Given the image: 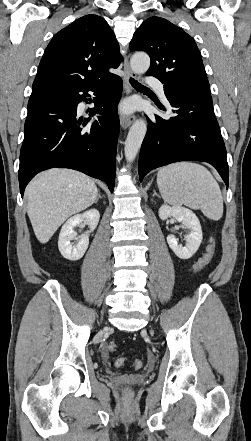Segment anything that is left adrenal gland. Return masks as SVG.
Masks as SVG:
<instances>
[{
	"mask_svg": "<svg viewBox=\"0 0 251 441\" xmlns=\"http://www.w3.org/2000/svg\"><path fill=\"white\" fill-rule=\"evenodd\" d=\"M153 192H154V193H153V196H158V197H159V195L156 193L155 190H154Z\"/></svg>",
	"mask_w": 251,
	"mask_h": 441,
	"instance_id": "a2214340",
	"label": "left adrenal gland"
}]
</instances>
